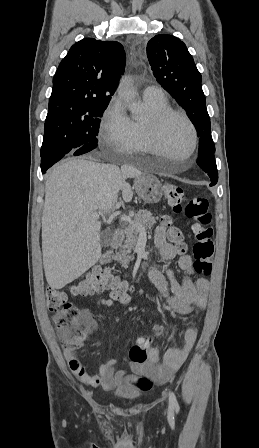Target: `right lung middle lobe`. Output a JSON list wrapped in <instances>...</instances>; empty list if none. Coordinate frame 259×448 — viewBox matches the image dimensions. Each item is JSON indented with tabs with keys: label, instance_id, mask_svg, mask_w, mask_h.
Listing matches in <instances>:
<instances>
[{
	"label": "right lung middle lobe",
	"instance_id": "dd1d6c3e",
	"mask_svg": "<svg viewBox=\"0 0 259 448\" xmlns=\"http://www.w3.org/2000/svg\"><path fill=\"white\" fill-rule=\"evenodd\" d=\"M106 108L93 107L78 113H48L41 158L67 154L78 156L96 148L100 118Z\"/></svg>",
	"mask_w": 259,
	"mask_h": 448
}]
</instances>
